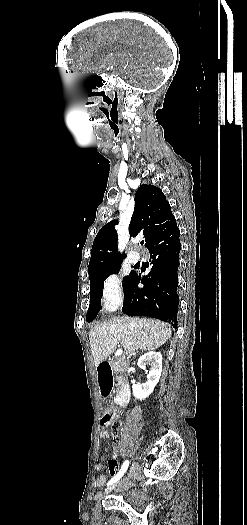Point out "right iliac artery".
<instances>
[{
    "mask_svg": "<svg viewBox=\"0 0 247 525\" xmlns=\"http://www.w3.org/2000/svg\"><path fill=\"white\" fill-rule=\"evenodd\" d=\"M128 465H129V461H128V460L124 461V463H123V465H122L120 471L118 472V474H117L115 477H113V478L107 483V485H111V484L115 483L116 481H118V480L123 476V474L125 473V471L127 470Z\"/></svg>",
    "mask_w": 247,
    "mask_h": 525,
    "instance_id": "obj_1",
    "label": "right iliac artery"
}]
</instances>
